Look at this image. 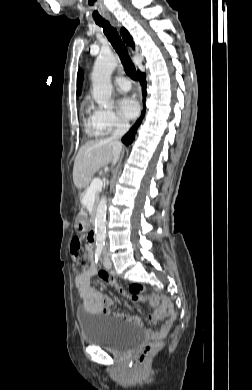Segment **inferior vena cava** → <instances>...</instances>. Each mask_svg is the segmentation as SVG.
<instances>
[{
    "mask_svg": "<svg viewBox=\"0 0 252 390\" xmlns=\"http://www.w3.org/2000/svg\"><path fill=\"white\" fill-rule=\"evenodd\" d=\"M130 125L127 123H123L117 126L115 131L113 132V135L109 138L112 148H113V160L112 163L115 165L122 149V144L120 142V139L126 132L129 130Z\"/></svg>",
    "mask_w": 252,
    "mask_h": 390,
    "instance_id": "1",
    "label": "inferior vena cava"
}]
</instances>
